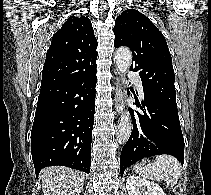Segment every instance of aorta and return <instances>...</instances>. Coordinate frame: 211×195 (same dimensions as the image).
Returning a JSON list of instances; mask_svg holds the SVG:
<instances>
[{"label": "aorta", "instance_id": "1", "mask_svg": "<svg viewBox=\"0 0 211 195\" xmlns=\"http://www.w3.org/2000/svg\"><path fill=\"white\" fill-rule=\"evenodd\" d=\"M114 62L116 64L117 70L121 74H125L127 70H129L132 63V54L128 48H119L116 51L114 56ZM132 123L131 117L128 112L121 115L118 126L116 137L120 144H125L131 134Z\"/></svg>", "mask_w": 211, "mask_h": 195}]
</instances>
